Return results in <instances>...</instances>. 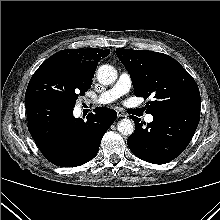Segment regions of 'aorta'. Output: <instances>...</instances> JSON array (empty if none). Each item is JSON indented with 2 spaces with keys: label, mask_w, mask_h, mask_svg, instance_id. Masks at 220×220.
I'll use <instances>...</instances> for the list:
<instances>
[{
  "label": "aorta",
  "mask_w": 220,
  "mask_h": 220,
  "mask_svg": "<svg viewBox=\"0 0 220 220\" xmlns=\"http://www.w3.org/2000/svg\"><path fill=\"white\" fill-rule=\"evenodd\" d=\"M97 79L103 85H111L117 79V70L108 64L101 65L97 71ZM117 127L122 135L129 136L134 132V123L130 119L120 120Z\"/></svg>",
  "instance_id": "1"
}]
</instances>
